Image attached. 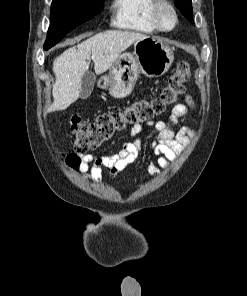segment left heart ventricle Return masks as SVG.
<instances>
[{"label":"left heart ventricle","instance_id":"b2bd125f","mask_svg":"<svg viewBox=\"0 0 247 296\" xmlns=\"http://www.w3.org/2000/svg\"><path fill=\"white\" fill-rule=\"evenodd\" d=\"M163 20H164V24L166 26H169L171 25L172 23V19H171V16L169 15V13L165 12L164 15H163Z\"/></svg>","mask_w":247,"mask_h":296}]
</instances>
